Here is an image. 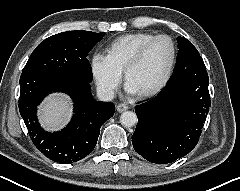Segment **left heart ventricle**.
Masks as SVG:
<instances>
[{
  "label": "left heart ventricle",
  "instance_id": "left-heart-ventricle-1",
  "mask_svg": "<svg viewBox=\"0 0 240 191\" xmlns=\"http://www.w3.org/2000/svg\"><path fill=\"white\" fill-rule=\"evenodd\" d=\"M171 58L168 41L158 40L147 50L143 60L128 74L129 81L138 92L152 88L164 77Z\"/></svg>",
  "mask_w": 240,
  "mask_h": 191
}]
</instances>
